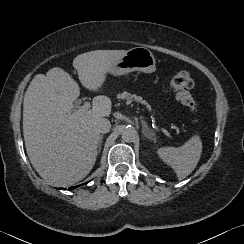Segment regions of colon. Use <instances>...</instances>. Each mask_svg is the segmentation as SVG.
<instances>
[{
    "label": "colon",
    "mask_w": 244,
    "mask_h": 244,
    "mask_svg": "<svg viewBox=\"0 0 244 244\" xmlns=\"http://www.w3.org/2000/svg\"><path fill=\"white\" fill-rule=\"evenodd\" d=\"M194 86V80L186 71L175 74L170 82V90L176 100L192 114H198L199 108L190 90Z\"/></svg>",
    "instance_id": "obj_1"
}]
</instances>
